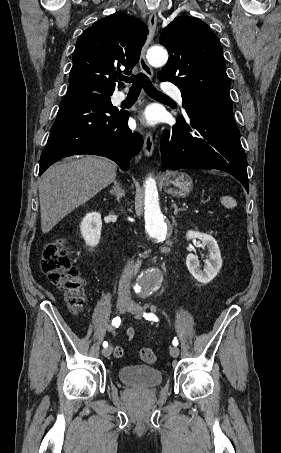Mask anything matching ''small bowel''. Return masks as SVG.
<instances>
[{"label": "small bowel", "instance_id": "c3829d8e", "mask_svg": "<svg viewBox=\"0 0 281 453\" xmlns=\"http://www.w3.org/2000/svg\"><path fill=\"white\" fill-rule=\"evenodd\" d=\"M126 337L128 340H132L134 338L135 332L133 329L129 328L125 332ZM123 347L122 346H116L113 348V354L115 356H120L123 353Z\"/></svg>", "mask_w": 281, "mask_h": 453}]
</instances>
